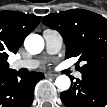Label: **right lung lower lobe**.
<instances>
[{
	"label": "right lung lower lobe",
	"mask_w": 107,
	"mask_h": 107,
	"mask_svg": "<svg viewBox=\"0 0 107 107\" xmlns=\"http://www.w3.org/2000/svg\"><path fill=\"white\" fill-rule=\"evenodd\" d=\"M44 78L40 72L21 75L9 69L0 72V105L1 107H29L34 97L36 83Z\"/></svg>",
	"instance_id": "98d812e1"
}]
</instances>
